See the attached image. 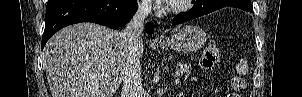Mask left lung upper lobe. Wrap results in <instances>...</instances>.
Returning a JSON list of instances; mask_svg holds the SVG:
<instances>
[{"instance_id":"left-lung-upper-lobe-1","label":"left lung upper lobe","mask_w":302,"mask_h":97,"mask_svg":"<svg viewBox=\"0 0 302 97\" xmlns=\"http://www.w3.org/2000/svg\"><path fill=\"white\" fill-rule=\"evenodd\" d=\"M223 1H232V0H223Z\"/></svg>"}]
</instances>
